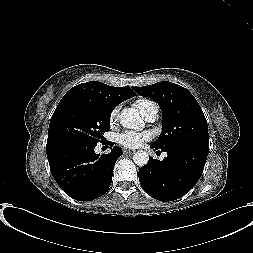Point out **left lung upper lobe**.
<instances>
[{"instance_id":"5c2ea615","label":"left lung upper lobe","mask_w":253,"mask_h":253,"mask_svg":"<svg viewBox=\"0 0 253 253\" xmlns=\"http://www.w3.org/2000/svg\"><path fill=\"white\" fill-rule=\"evenodd\" d=\"M140 96L155 100L162 110V132L152 143L158 149L189 144L209 149L208 125L202 109L184 87L168 81L132 87Z\"/></svg>"}]
</instances>
